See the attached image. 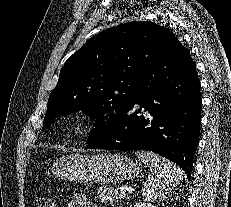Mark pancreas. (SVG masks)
Returning <instances> with one entry per match:
<instances>
[{"instance_id": "pancreas-1", "label": "pancreas", "mask_w": 231, "mask_h": 207, "mask_svg": "<svg viewBox=\"0 0 231 207\" xmlns=\"http://www.w3.org/2000/svg\"><path fill=\"white\" fill-rule=\"evenodd\" d=\"M102 203L114 204L118 202V191L108 187H100L96 191Z\"/></svg>"}]
</instances>
